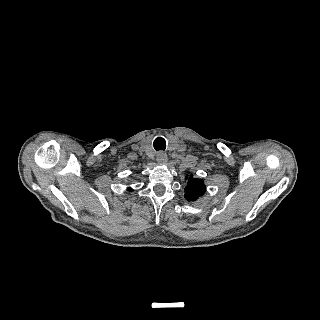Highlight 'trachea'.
I'll use <instances>...</instances> for the list:
<instances>
[{"label":"trachea","instance_id":"3493384b","mask_svg":"<svg viewBox=\"0 0 320 320\" xmlns=\"http://www.w3.org/2000/svg\"><path fill=\"white\" fill-rule=\"evenodd\" d=\"M153 146H154V149H155L156 151L165 150V148H166V141H165V139L162 138V137H157V138L154 140Z\"/></svg>","mask_w":320,"mask_h":320}]
</instances>
